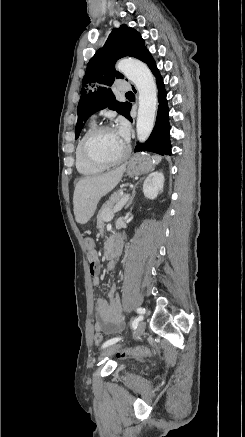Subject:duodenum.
<instances>
[{
	"label": "duodenum",
	"mask_w": 245,
	"mask_h": 437,
	"mask_svg": "<svg viewBox=\"0 0 245 437\" xmlns=\"http://www.w3.org/2000/svg\"><path fill=\"white\" fill-rule=\"evenodd\" d=\"M120 251V238L118 240L109 245L105 250V258L107 260V268L112 269L115 266V258L118 256Z\"/></svg>",
	"instance_id": "410a0bca"
}]
</instances>
